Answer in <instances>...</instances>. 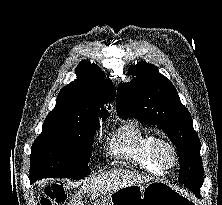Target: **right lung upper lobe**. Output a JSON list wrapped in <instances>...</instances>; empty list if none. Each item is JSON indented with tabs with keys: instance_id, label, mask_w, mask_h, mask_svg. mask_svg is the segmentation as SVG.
Segmentation results:
<instances>
[{
	"instance_id": "right-lung-upper-lobe-1",
	"label": "right lung upper lobe",
	"mask_w": 222,
	"mask_h": 205,
	"mask_svg": "<svg viewBox=\"0 0 222 205\" xmlns=\"http://www.w3.org/2000/svg\"><path fill=\"white\" fill-rule=\"evenodd\" d=\"M75 73L77 79L60 91L56 106L45 121H94L108 117L102 103L114 101L113 84L105 79L97 65L87 61H82Z\"/></svg>"
}]
</instances>
